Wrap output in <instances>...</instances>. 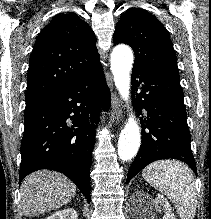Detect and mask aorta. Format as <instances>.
<instances>
[{"label": "aorta", "instance_id": "obj_1", "mask_svg": "<svg viewBox=\"0 0 211 219\" xmlns=\"http://www.w3.org/2000/svg\"><path fill=\"white\" fill-rule=\"evenodd\" d=\"M133 64L132 50L126 45L115 47L111 53V70L114 83L121 98L128 105L130 96V72ZM141 142L140 130L133 114L120 133L118 155L123 161L131 160L138 152Z\"/></svg>", "mask_w": 211, "mask_h": 219}]
</instances>
